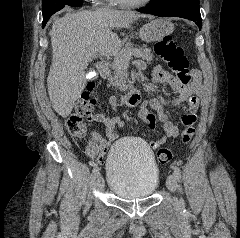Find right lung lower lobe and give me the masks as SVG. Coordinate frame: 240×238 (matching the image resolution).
Listing matches in <instances>:
<instances>
[{
  "label": "right lung lower lobe",
  "mask_w": 240,
  "mask_h": 238,
  "mask_svg": "<svg viewBox=\"0 0 240 238\" xmlns=\"http://www.w3.org/2000/svg\"><path fill=\"white\" fill-rule=\"evenodd\" d=\"M81 5H82V0L70 4V6H74V7L81 6ZM45 24H46V23H43V26H45Z\"/></svg>",
  "instance_id": "right-lung-lower-lobe-1"
}]
</instances>
